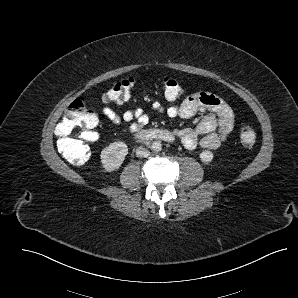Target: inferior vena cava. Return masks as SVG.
Listing matches in <instances>:
<instances>
[{
  "mask_svg": "<svg viewBox=\"0 0 298 298\" xmlns=\"http://www.w3.org/2000/svg\"><path fill=\"white\" fill-rule=\"evenodd\" d=\"M150 155V151L146 149L145 147L139 146L136 149V156L139 158H146Z\"/></svg>",
  "mask_w": 298,
  "mask_h": 298,
  "instance_id": "inferior-vena-cava-1",
  "label": "inferior vena cava"
}]
</instances>
